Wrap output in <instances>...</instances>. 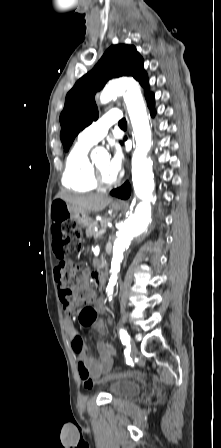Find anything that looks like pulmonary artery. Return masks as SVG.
<instances>
[{
    "label": "pulmonary artery",
    "mask_w": 221,
    "mask_h": 448,
    "mask_svg": "<svg viewBox=\"0 0 221 448\" xmlns=\"http://www.w3.org/2000/svg\"><path fill=\"white\" fill-rule=\"evenodd\" d=\"M121 118L122 115L118 109H110L106 114L87 126L79 134L78 142L87 146L96 144L107 135L109 127L112 124L119 122Z\"/></svg>",
    "instance_id": "pulmonary-artery-1"
}]
</instances>
